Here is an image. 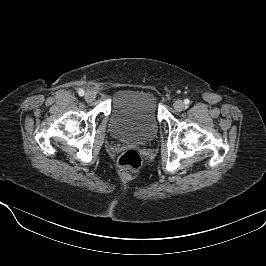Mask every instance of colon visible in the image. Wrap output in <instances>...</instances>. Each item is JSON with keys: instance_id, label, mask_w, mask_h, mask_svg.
<instances>
[{"instance_id": "colon-1", "label": "colon", "mask_w": 266, "mask_h": 266, "mask_svg": "<svg viewBox=\"0 0 266 266\" xmlns=\"http://www.w3.org/2000/svg\"><path fill=\"white\" fill-rule=\"evenodd\" d=\"M141 163V156L135 149L126 150L118 159L119 167L125 171H136L141 166Z\"/></svg>"}]
</instances>
